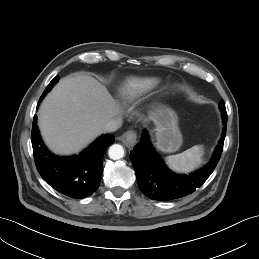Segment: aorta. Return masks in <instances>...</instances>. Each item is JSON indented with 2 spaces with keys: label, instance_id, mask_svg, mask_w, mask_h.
<instances>
[{
  "label": "aorta",
  "instance_id": "aorta-1",
  "mask_svg": "<svg viewBox=\"0 0 259 259\" xmlns=\"http://www.w3.org/2000/svg\"><path fill=\"white\" fill-rule=\"evenodd\" d=\"M108 155L113 160L121 159L124 156V149L121 145L114 144V145L110 146V148L108 150Z\"/></svg>",
  "mask_w": 259,
  "mask_h": 259
}]
</instances>
